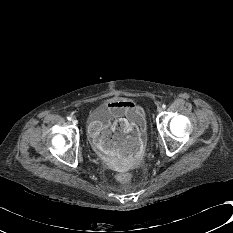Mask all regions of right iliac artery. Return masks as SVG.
<instances>
[{"label": "right iliac artery", "mask_w": 233, "mask_h": 233, "mask_svg": "<svg viewBox=\"0 0 233 233\" xmlns=\"http://www.w3.org/2000/svg\"><path fill=\"white\" fill-rule=\"evenodd\" d=\"M67 119H68L69 121H71L72 117H67Z\"/></svg>", "instance_id": "right-iliac-artery-1"}]
</instances>
